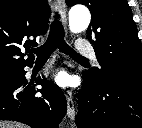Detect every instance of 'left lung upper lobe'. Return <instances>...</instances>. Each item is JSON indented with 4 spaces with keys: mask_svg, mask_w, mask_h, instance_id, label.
I'll return each instance as SVG.
<instances>
[{
    "mask_svg": "<svg viewBox=\"0 0 142 128\" xmlns=\"http://www.w3.org/2000/svg\"><path fill=\"white\" fill-rule=\"evenodd\" d=\"M66 3L83 4L91 12L87 38L94 45L100 68L90 72L98 79L142 81V44L127 0H66Z\"/></svg>",
    "mask_w": 142,
    "mask_h": 128,
    "instance_id": "5c2ea615",
    "label": "left lung upper lobe"
}]
</instances>
